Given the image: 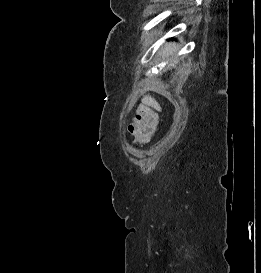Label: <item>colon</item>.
Masks as SVG:
<instances>
[{
    "label": "colon",
    "instance_id": "obj_1",
    "mask_svg": "<svg viewBox=\"0 0 261 273\" xmlns=\"http://www.w3.org/2000/svg\"><path fill=\"white\" fill-rule=\"evenodd\" d=\"M157 114L149 107L140 105L133 122L128 127V135L134 143L147 142L157 126Z\"/></svg>",
    "mask_w": 261,
    "mask_h": 273
}]
</instances>
